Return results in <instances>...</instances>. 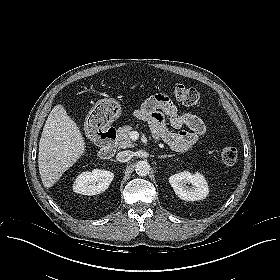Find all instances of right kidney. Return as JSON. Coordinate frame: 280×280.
<instances>
[{
    "mask_svg": "<svg viewBox=\"0 0 280 280\" xmlns=\"http://www.w3.org/2000/svg\"><path fill=\"white\" fill-rule=\"evenodd\" d=\"M114 178L110 171L94 169L77 176L73 184V191L82 195H97L105 191Z\"/></svg>",
    "mask_w": 280,
    "mask_h": 280,
    "instance_id": "right-kidney-1",
    "label": "right kidney"
}]
</instances>
